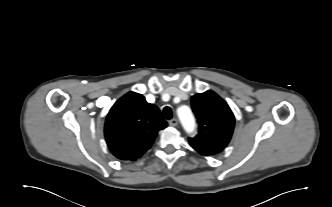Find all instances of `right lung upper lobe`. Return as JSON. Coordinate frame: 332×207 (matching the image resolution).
Returning a JSON list of instances; mask_svg holds the SVG:
<instances>
[{"label": "right lung upper lobe", "mask_w": 332, "mask_h": 207, "mask_svg": "<svg viewBox=\"0 0 332 207\" xmlns=\"http://www.w3.org/2000/svg\"><path fill=\"white\" fill-rule=\"evenodd\" d=\"M166 127L155 105L147 103L143 95L129 92L110 109L104 132L114 156L135 161L151 147L158 131Z\"/></svg>", "instance_id": "cb5924a9"}]
</instances>
